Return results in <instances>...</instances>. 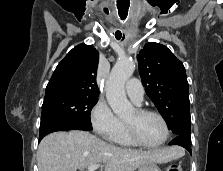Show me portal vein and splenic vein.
<instances>
[{
	"label": "portal vein and splenic vein",
	"instance_id": "1",
	"mask_svg": "<svg viewBox=\"0 0 223 171\" xmlns=\"http://www.w3.org/2000/svg\"><path fill=\"white\" fill-rule=\"evenodd\" d=\"M100 167L99 164H93L91 166L88 167V171H95Z\"/></svg>",
	"mask_w": 223,
	"mask_h": 171
}]
</instances>
